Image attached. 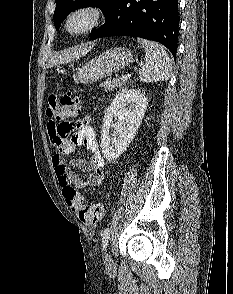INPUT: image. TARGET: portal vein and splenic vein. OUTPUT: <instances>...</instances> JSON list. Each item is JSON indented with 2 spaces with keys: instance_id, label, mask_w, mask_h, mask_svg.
Instances as JSON below:
<instances>
[{
  "instance_id": "portal-vein-and-splenic-vein-1",
  "label": "portal vein and splenic vein",
  "mask_w": 233,
  "mask_h": 294,
  "mask_svg": "<svg viewBox=\"0 0 233 294\" xmlns=\"http://www.w3.org/2000/svg\"><path fill=\"white\" fill-rule=\"evenodd\" d=\"M130 77H131V74H125V75L120 76V79H121V80H127V79H129Z\"/></svg>"
}]
</instances>
